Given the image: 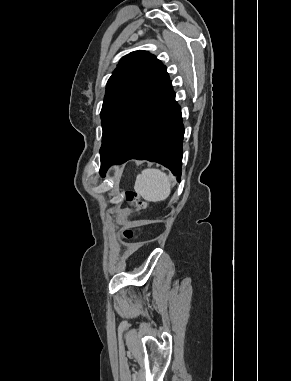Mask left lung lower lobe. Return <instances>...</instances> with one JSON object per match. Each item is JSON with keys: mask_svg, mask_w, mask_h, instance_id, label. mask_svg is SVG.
Returning <instances> with one entry per match:
<instances>
[{"mask_svg": "<svg viewBox=\"0 0 291 381\" xmlns=\"http://www.w3.org/2000/svg\"><path fill=\"white\" fill-rule=\"evenodd\" d=\"M184 127L171 81L145 105L126 134L101 162L105 176L113 164L130 159L157 162L181 177Z\"/></svg>", "mask_w": 291, "mask_h": 381, "instance_id": "1", "label": "left lung lower lobe"}]
</instances>
